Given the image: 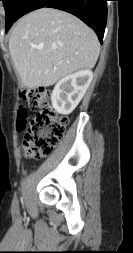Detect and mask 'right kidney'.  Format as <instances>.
I'll return each instance as SVG.
<instances>
[{
  "label": "right kidney",
  "instance_id": "ca27d5eb",
  "mask_svg": "<svg viewBox=\"0 0 133 253\" xmlns=\"http://www.w3.org/2000/svg\"><path fill=\"white\" fill-rule=\"evenodd\" d=\"M93 79L90 70H81L62 78L51 95L52 106L57 113L68 115L83 98Z\"/></svg>",
  "mask_w": 133,
  "mask_h": 253
}]
</instances>
